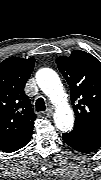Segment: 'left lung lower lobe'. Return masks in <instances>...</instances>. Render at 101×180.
Instances as JSON below:
<instances>
[{"mask_svg": "<svg viewBox=\"0 0 101 180\" xmlns=\"http://www.w3.org/2000/svg\"><path fill=\"white\" fill-rule=\"evenodd\" d=\"M63 140L74 150L89 153L99 148L101 136L80 128H75L69 133H63Z\"/></svg>", "mask_w": 101, "mask_h": 180, "instance_id": "obj_1", "label": "left lung lower lobe"}]
</instances>
